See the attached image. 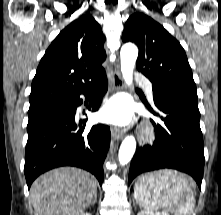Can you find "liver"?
Returning a JSON list of instances; mask_svg holds the SVG:
<instances>
[{"mask_svg": "<svg viewBox=\"0 0 221 215\" xmlns=\"http://www.w3.org/2000/svg\"><path fill=\"white\" fill-rule=\"evenodd\" d=\"M96 193L93 176L74 167H61L37 178L30 189L36 215H80Z\"/></svg>", "mask_w": 221, "mask_h": 215, "instance_id": "liver-1", "label": "liver"}]
</instances>
